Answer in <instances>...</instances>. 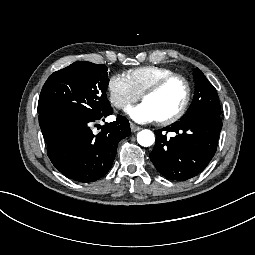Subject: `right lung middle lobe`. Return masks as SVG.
<instances>
[{"mask_svg":"<svg viewBox=\"0 0 255 255\" xmlns=\"http://www.w3.org/2000/svg\"><path fill=\"white\" fill-rule=\"evenodd\" d=\"M107 70L103 64L78 61L49 76L38 101L43 135L45 131L94 122L113 113L106 97Z\"/></svg>","mask_w":255,"mask_h":255,"instance_id":"obj_1","label":"right lung middle lobe"}]
</instances>
